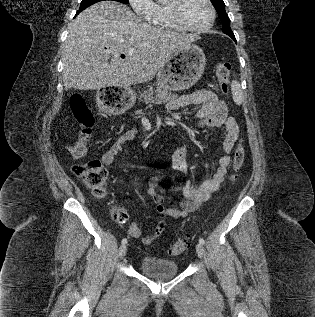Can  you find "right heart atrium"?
Instances as JSON below:
<instances>
[{
  "label": "right heart atrium",
  "mask_w": 315,
  "mask_h": 317,
  "mask_svg": "<svg viewBox=\"0 0 315 317\" xmlns=\"http://www.w3.org/2000/svg\"><path fill=\"white\" fill-rule=\"evenodd\" d=\"M130 6L135 11V13L149 21L155 8V3L152 0H128Z\"/></svg>",
  "instance_id": "1"
}]
</instances>
